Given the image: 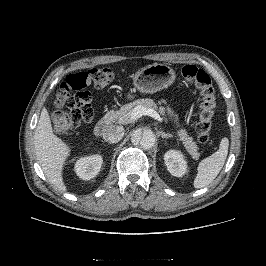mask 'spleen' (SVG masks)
Instances as JSON below:
<instances>
[{
    "label": "spleen",
    "mask_w": 266,
    "mask_h": 266,
    "mask_svg": "<svg viewBox=\"0 0 266 266\" xmlns=\"http://www.w3.org/2000/svg\"><path fill=\"white\" fill-rule=\"evenodd\" d=\"M228 147L229 140L224 137L220 142L219 150L199 163L193 184L196 189L208 186L217 177L226 161Z\"/></svg>",
    "instance_id": "obj_1"
}]
</instances>
